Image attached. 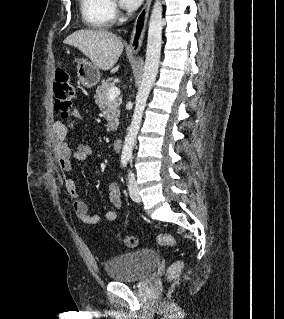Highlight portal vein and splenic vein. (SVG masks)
Listing matches in <instances>:
<instances>
[{
    "mask_svg": "<svg viewBox=\"0 0 284 319\" xmlns=\"http://www.w3.org/2000/svg\"><path fill=\"white\" fill-rule=\"evenodd\" d=\"M120 95V89L118 87H111L108 93V99L114 100L116 97Z\"/></svg>",
    "mask_w": 284,
    "mask_h": 319,
    "instance_id": "portal-vein-and-splenic-vein-1",
    "label": "portal vein and splenic vein"
}]
</instances>
